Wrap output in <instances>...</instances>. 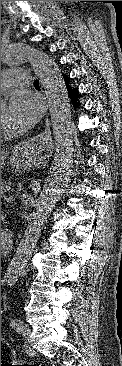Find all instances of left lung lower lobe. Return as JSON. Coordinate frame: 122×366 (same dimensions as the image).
Returning <instances> with one entry per match:
<instances>
[{"mask_svg":"<svg viewBox=\"0 0 122 366\" xmlns=\"http://www.w3.org/2000/svg\"><path fill=\"white\" fill-rule=\"evenodd\" d=\"M63 77H64V81L66 83V86H67V89H68V92H69V96L71 98V101H72V104L74 106V108L78 107V96H79V93L77 90L71 88L69 85H68V82H69V79L66 75L63 74Z\"/></svg>","mask_w":122,"mask_h":366,"instance_id":"obj_1","label":"left lung lower lobe"}]
</instances>
